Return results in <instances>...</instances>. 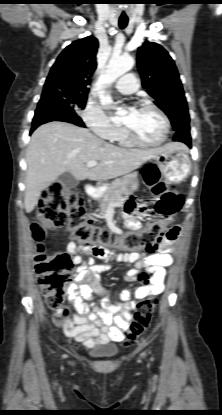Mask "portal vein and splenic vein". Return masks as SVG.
I'll use <instances>...</instances> for the list:
<instances>
[{
    "instance_id": "obj_1",
    "label": "portal vein and splenic vein",
    "mask_w": 222,
    "mask_h": 415,
    "mask_svg": "<svg viewBox=\"0 0 222 415\" xmlns=\"http://www.w3.org/2000/svg\"><path fill=\"white\" fill-rule=\"evenodd\" d=\"M96 165H98L97 161H89V162L86 163L87 167H94Z\"/></svg>"
}]
</instances>
